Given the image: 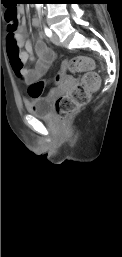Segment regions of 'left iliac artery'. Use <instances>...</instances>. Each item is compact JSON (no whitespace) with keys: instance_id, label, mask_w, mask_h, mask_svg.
I'll use <instances>...</instances> for the list:
<instances>
[{"instance_id":"left-iliac-artery-1","label":"left iliac artery","mask_w":122,"mask_h":257,"mask_svg":"<svg viewBox=\"0 0 122 257\" xmlns=\"http://www.w3.org/2000/svg\"><path fill=\"white\" fill-rule=\"evenodd\" d=\"M44 31H45V34L48 36V37H51L52 35V31L48 28V27H44Z\"/></svg>"}]
</instances>
